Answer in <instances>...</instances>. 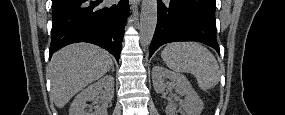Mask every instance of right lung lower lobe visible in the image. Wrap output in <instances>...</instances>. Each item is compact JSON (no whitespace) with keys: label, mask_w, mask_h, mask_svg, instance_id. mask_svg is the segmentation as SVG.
Returning a JSON list of instances; mask_svg holds the SVG:
<instances>
[{"label":"right lung lower lobe","mask_w":285,"mask_h":115,"mask_svg":"<svg viewBox=\"0 0 285 115\" xmlns=\"http://www.w3.org/2000/svg\"><path fill=\"white\" fill-rule=\"evenodd\" d=\"M102 0H52L50 57L75 42L98 45L119 61L128 0L104 6Z\"/></svg>","instance_id":"right-lung-lower-lobe-1"}]
</instances>
